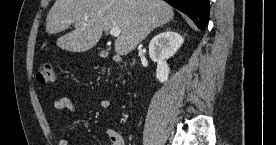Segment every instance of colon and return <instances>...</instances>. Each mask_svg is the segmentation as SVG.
I'll use <instances>...</instances> for the list:
<instances>
[{
	"instance_id": "5ec220e1",
	"label": "colon",
	"mask_w": 276,
	"mask_h": 145,
	"mask_svg": "<svg viewBox=\"0 0 276 145\" xmlns=\"http://www.w3.org/2000/svg\"><path fill=\"white\" fill-rule=\"evenodd\" d=\"M37 80L41 84H53L57 80V74L53 64L45 63L37 71Z\"/></svg>"
}]
</instances>
